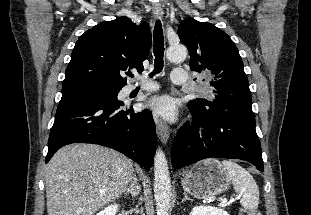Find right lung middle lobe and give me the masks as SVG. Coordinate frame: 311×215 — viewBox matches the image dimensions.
<instances>
[{
	"label": "right lung middle lobe",
	"instance_id": "obj_1",
	"mask_svg": "<svg viewBox=\"0 0 311 215\" xmlns=\"http://www.w3.org/2000/svg\"><path fill=\"white\" fill-rule=\"evenodd\" d=\"M121 88L92 83H76L63 86L60 103L70 100H85L102 105L121 104L117 94Z\"/></svg>",
	"mask_w": 311,
	"mask_h": 215
}]
</instances>
